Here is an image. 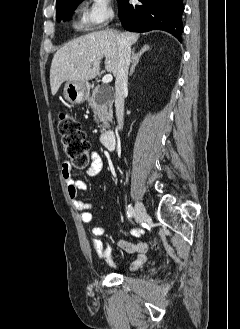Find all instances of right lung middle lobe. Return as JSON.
I'll return each mask as SVG.
<instances>
[{
	"label": "right lung middle lobe",
	"instance_id": "dd1d6c3e",
	"mask_svg": "<svg viewBox=\"0 0 240 329\" xmlns=\"http://www.w3.org/2000/svg\"><path fill=\"white\" fill-rule=\"evenodd\" d=\"M83 0H66L60 5L56 6L57 13L56 18L58 21H67L70 19L77 5ZM119 3L121 0H117Z\"/></svg>",
	"mask_w": 240,
	"mask_h": 329
}]
</instances>
